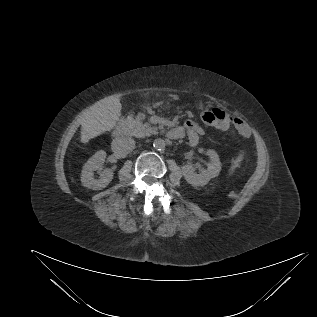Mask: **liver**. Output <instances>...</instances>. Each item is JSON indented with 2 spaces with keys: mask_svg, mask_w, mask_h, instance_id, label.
<instances>
[{
  "mask_svg": "<svg viewBox=\"0 0 317 317\" xmlns=\"http://www.w3.org/2000/svg\"><path fill=\"white\" fill-rule=\"evenodd\" d=\"M122 105L116 95L108 96L82 114L81 137L82 143L111 131L121 115Z\"/></svg>",
  "mask_w": 317,
  "mask_h": 317,
  "instance_id": "obj_1",
  "label": "liver"
}]
</instances>
